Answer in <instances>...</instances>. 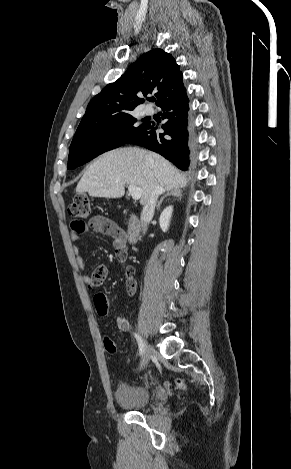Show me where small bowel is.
<instances>
[{"label": "small bowel", "mask_w": 291, "mask_h": 469, "mask_svg": "<svg viewBox=\"0 0 291 469\" xmlns=\"http://www.w3.org/2000/svg\"><path fill=\"white\" fill-rule=\"evenodd\" d=\"M71 240L73 243H77L80 240L81 235L88 229L97 233L108 235L112 238L113 246L116 252V256L119 251L125 250L126 244V233L113 221L103 216H95L91 218L88 224H84L81 221L71 222ZM73 252L76 255V263L81 270H85L84 260L80 254V248L75 244L73 246ZM127 252L123 259L125 262ZM121 262V261H120ZM108 268L105 265L97 266L91 274H83L82 279L89 289H95L101 285L108 277ZM128 291L132 293L135 287H131L127 282ZM95 296V295H94ZM107 313V312H106ZM102 314L101 312L99 313ZM117 326L121 331H128L130 328L129 321L124 317H117Z\"/></svg>", "instance_id": "1"}]
</instances>
